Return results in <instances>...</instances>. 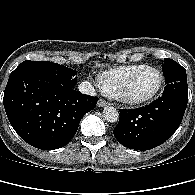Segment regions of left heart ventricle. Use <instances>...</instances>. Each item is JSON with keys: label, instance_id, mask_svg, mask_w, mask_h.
I'll return each instance as SVG.
<instances>
[{"label": "left heart ventricle", "instance_id": "obj_1", "mask_svg": "<svg viewBox=\"0 0 195 195\" xmlns=\"http://www.w3.org/2000/svg\"><path fill=\"white\" fill-rule=\"evenodd\" d=\"M159 84V74L153 70L142 72L133 82L130 94L133 97H144L151 94Z\"/></svg>", "mask_w": 195, "mask_h": 195}]
</instances>
